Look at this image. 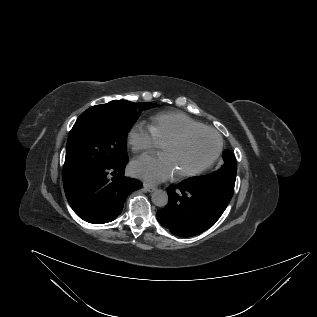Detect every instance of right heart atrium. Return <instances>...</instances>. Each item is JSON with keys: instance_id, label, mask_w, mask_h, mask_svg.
I'll list each match as a JSON object with an SVG mask.
<instances>
[{"instance_id": "1", "label": "right heart atrium", "mask_w": 317, "mask_h": 317, "mask_svg": "<svg viewBox=\"0 0 317 317\" xmlns=\"http://www.w3.org/2000/svg\"><path fill=\"white\" fill-rule=\"evenodd\" d=\"M127 143L135 152L151 150L159 145L149 126L142 122L133 124L127 133Z\"/></svg>"}]
</instances>
